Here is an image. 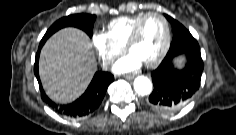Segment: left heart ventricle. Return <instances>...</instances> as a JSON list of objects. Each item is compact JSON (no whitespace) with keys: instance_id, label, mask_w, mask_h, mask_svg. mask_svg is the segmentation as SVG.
Instances as JSON below:
<instances>
[{"instance_id":"left-heart-ventricle-1","label":"left heart ventricle","mask_w":236,"mask_h":135,"mask_svg":"<svg viewBox=\"0 0 236 135\" xmlns=\"http://www.w3.org/2000/svg\"><path fill=\"white\" fill-rule=\"evenodd\" d=\"M165 40V28L157 16H150L142 24L140 36L130 53L142 62L154 59L161 51Z\"/></svg>"}]
</instances>
